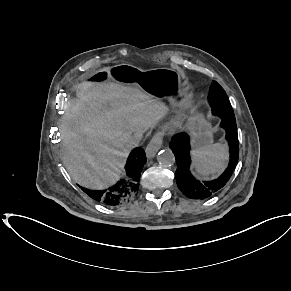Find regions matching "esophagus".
Wrapping results in <instances>:
<instances>
[{
  "instance_id": "1",
  "label": "esophagus",
  "mask_w": 291,
  "mask_h": 291,
  "mask_svg": "<svg viewBox=\"0 0 291 291\" xmlns=\"http://www.w3.org/2000/svg\"><path fill=\"white\" fill-rule=\"evenodd\" d=\"M162 143H163L162 133L158 132L153 136L150 143L146 147L145 152L147 158L149 159L154 158L158 150L162 147Z\"/></svg>"
}]
</instances>
